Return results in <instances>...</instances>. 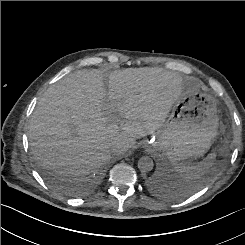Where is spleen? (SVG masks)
Returning a JSON list of instances; mask_svg holds the SVG:
<instances>
[{
	"mask_svg": "<svg viewBox=\"0 0 245 245\" xmlns=\"http://www.w3.org/2000/svg\"><path fill=\"white\" fill-rule=\"evenodd\" d=\"M216 153L213 152L209 154L205 159L200 162L193 163L190 165L186 164H176L175 172L185 180L200 178L203 174L209 171V169L214 165Z\"/></svg>",
	"mask_w": 245,
	"mask_h": 245,
	"instance_id": "obj_1",
	"label": "spleen"
}]
</instances>
